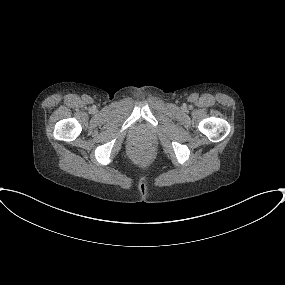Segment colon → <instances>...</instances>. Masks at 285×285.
Wrapping results in <instances>:
<instances>
[{
	"instance_id": "1",
	"label": "colon",
	"mask_w": 285,
	"mask_h": 285,
	"mask_svg": "<svg viewBox=\"0 0 285 285\" xmlns=\"http://www.w3.org/2000/svg\"><path fill=\"white\" fill-rule=\"evenodd\" d=\"M138 158L142 161H148L153 156V151L148 145H141L136 152Z\"/></svg>"
}]
</instances>
